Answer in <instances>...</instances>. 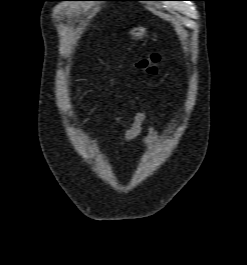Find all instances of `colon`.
Segmentation results:
<instances>
[{
  "label": "colon",
  "mask_w": 247,
  "mask_h": 265,
  "mask_svg": "<svg viewBox=\"0 0 247 265\" xmlns=\"http://www.w3.org/2000/svg\"><path fill=\"white\" fill-rule=\"evenodd\" d=\"M161 60V57L157 53H152L149 56L140 59L136 63V67L148 74H156L158 71V64Z\"/></svg>",
  "instance_id": "5ec220e1"
}]
</instances>
